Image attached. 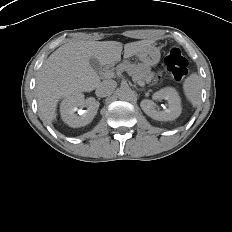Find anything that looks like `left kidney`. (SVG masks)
Masks as SVG:
<instances>
[{"mask_svg":"<svg viewBox=\"0 0 232 232\" xmlns=\"http://www.w3.org/2000/svg\"><path fill=\"white\" fill-rule=\"evenodd\" d=\"M153 100H167L168 108L163 111L156 110V104L153 100L144 99L141 101V108L149 117L158 121H172L178 118L181 114V99L177 91L173 87H166L152 96Z\"/></svg>","mask_w":232,"mask_h":232,"instance_id":"left-kidney-1","label":"left kidney"}]
</instances>
